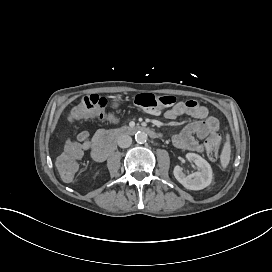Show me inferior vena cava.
<instances>
[{"instance_id":"1","label":"inferior vena cava","mask_w":272,"mask_h":272,"mask_svg":"<svg viewBox=\"0 0 272 272\" xmlns=\"http://www.w3.org/2000/svg\"><path fill=\"white\" fill-rule=\"evenodd\" d=\"M132 143V138L129 135H121L118 138V146L121 148H128Z\"/></svg>"}]
</instances>
